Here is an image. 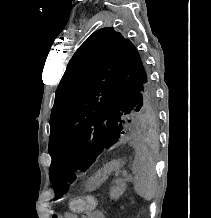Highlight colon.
<instances>
[{"instance_id": "colon-1", "label": "colon", "mask_w": 211, "mask_h": 218, "mask_svg": "<svg viewBox=\"0 0 211 218\" xmlns=\"http://www.w3.org/2000/svg\"><path fill=\"white\" fill-rule=\"evenodd\" d=\"M93 206V200L91 198H75L70 202V209L73 212H82Z\"/></svg>"}]
</instances>
